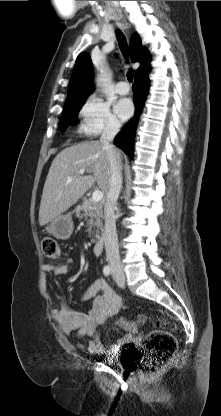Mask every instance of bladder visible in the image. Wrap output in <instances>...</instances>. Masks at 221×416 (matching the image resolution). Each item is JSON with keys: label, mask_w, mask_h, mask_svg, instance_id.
I'll return each instance as SVG.
<instances>
[{"label": "bladder", "mask_w": 221, "mask_h": 416, "mask_svg": "<svg viewBox=\"0 0 221 416\" xmlns=\"http://www.w3.org/2000/svg\"><path fill=\"white\" fill-rule=\"evenodd\" d=\"M106 362H110V359H107Z\"/></svg>", "instance_id": "1"}]
</instances>
